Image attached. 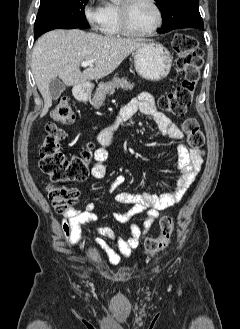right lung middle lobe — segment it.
<instances>
[{"label": "right lung middle lobe", "instance_id": "right-lung-middle-lobe-1", "mask_svg": "<svg viewBox=\"0 0 240 329\" xmlns=\"http://www.w3.org/2000/svg\"><path fill=\"white\" fill-rule=\"evenodd\" d=\"M89 0H41L34 24L35 39L55 28H88L84 7Z\"/></svg>", "mask_w": 240, "mask_h": 329}]
</instances>
